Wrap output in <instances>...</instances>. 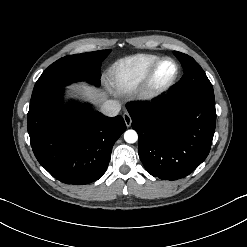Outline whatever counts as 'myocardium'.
Wrapping results in <instances>:
<instances>
[{
  "mask_svg": "<svg viewBox=\"0 0 247 247\" xmlns=\"http://www.w3.org/2000/svg\"><path fill=\"white\" fill-rule=\"evenodd\" d=\"M172 61L176 66V74L173 77V79L167 83L166 85L155 88L152 86V80L154 73L157 69V67L163 62V61ZM181 74V67L178 63V61L172 57H160L158 60H156L151 67L146 72L144 78L140 82V84L137 86L135 94L138 99L145 101V102H151L154 100H157L164 95H166L178 82Z\"/></svg>",
  "mask_w": 247,
  "mask_h": 247,
  "instance_id": "f54148a6",
  "label": "myocardium"
}]
</instances>
